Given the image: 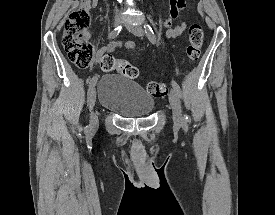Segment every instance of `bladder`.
<instances>
[{"instance_id": "obj_1", "label": "bladder", "mask_w": 275, "mask_h": 215, "mask_svg": "<svg viewBox=\"0 0 275 215\" xmlns=\"http://www.w3.org/2000/svg\"><path fill=\"white\" fill-rule=\"evenodd\" d=\"M97 89L99 103L122 117H146L155 106L151 95L137 82L118 74L99 76Z\"/></svg>"}]
</instances>
